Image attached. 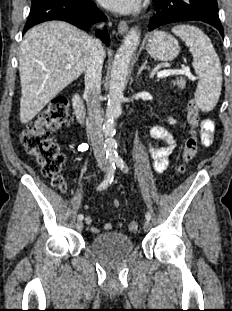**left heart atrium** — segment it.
<instances>
[{"label":"left heart atrium","instance_id":"1","mask_svg":"<svg viewBox=\"0 0 232 311\" xmlns=\"http://www.w3.org/2000/svg\"><path fill=\"white\" fill-rule=\"evenodd\" d=\"M99 2L109 10L127 14L134 12L139 7L141 0H99Z\"/></svg>","mask_w":232,"mask_h":311}]
</instances>
